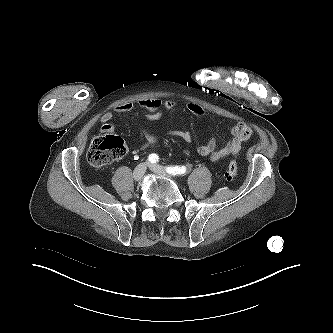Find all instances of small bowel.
Returning <instances> with one entry per match:
<instances>
[{
	"label": "small bowel",
	"instance_id": "obj_1",
	"mask_svg": "<svg viewBox=\"0 0 333 333\" xmlns=\"http://www.w3.org/2000/svg\"><path fill=\"white\" fill-rule=\"evenodd\" d=\"M177 103L174 100H162L157 97L143 98L138 101V106L148 111L144 116L145 122L158 120L164 111L172 110ZM134 103L128 102L116 106L112 111L105 113L101 117L100 131L110 134L115 132V126L110 123L115 114L130 112L134 108ZM190 113L198 117H208V113L197 103L190 102L187 104ZM142 131L146 137L147 143L141 148H146L149 144L162 141L166 137H177L186 142L192 140V133L187 129L175 128L167 133L158 134L150 130L147 126H143ZM231 139H229L222 147L217 148V140L211 137L205 143L197 148V152L202 157H209L212 161H221L227 156H237L243 150L244 146L252 139L253 130L245 123H238L230 129Z\"/></svg>",
	"mask_w": 333,
	"mask_h": 333
}]
</instances>
